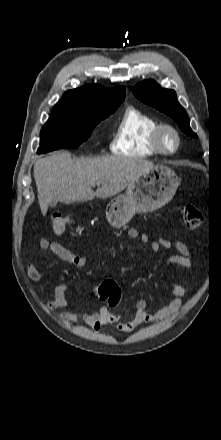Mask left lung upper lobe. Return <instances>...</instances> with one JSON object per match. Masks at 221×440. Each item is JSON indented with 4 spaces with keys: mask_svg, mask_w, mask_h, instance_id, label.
I'll list each match as a JSON object with an SVG mask.
<instances>
[{
    "mask_svg": "<svg viewBox=\"0 0 221 440\" xmlns=\"http://www.w3.org/2000/svg\"><path fill=\"white\" fill-rule=\"evenodd\" d=\"M133 94L142 102L172 117L184 133L196 137L189 126L186 111L178 103L174 90L163 89L155 81L146 80L133 88Z\"/></svg>",
    "mask_w": 221,
    "mask_h": 440,
    "instance_id": "1",
    "label": "left lung upper lobe"
}]
</instances>
